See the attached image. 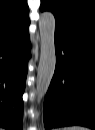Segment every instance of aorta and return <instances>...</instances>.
Here are the masks:
<instances>
[{"mask_svg": "<svg viewBox=\"0 0 95 130\" xmlns=\"http://www.w3.org/2000/svg\"><path fill=\"white\" fill-rule=\"evenodd\" d=\"M39 30L41 50L35 89L37 103L45 97L56 66L55 18L51 12H43L40 15Z\"/></svg>", "mask_w": 95, "mask_h": 130, "instance_id": "1", "label": "aorta"}]
</instances>
